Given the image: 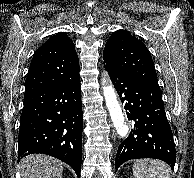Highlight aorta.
Segmentation results:
<instances>
[{"instance_id":"obj_1","label":"aorta","mask_w":194,"mask_h":178,"mask_svg":"<svg viewBox=\"0 0 194 178\" xmlns=\"http://www.w3.org/2000/svg\"><path fill=\"white\" fill-rule=\"evenodd\" d=\"M103 83H106L105 78ZM103 94L106 101V106L108 108L111 120L114 124V127L121 137H125L128 133V126L125 123V118L121 109L120 104L118 103L115 90L112 85H106L103 87Z\"/></svg>"}]
</instances>
